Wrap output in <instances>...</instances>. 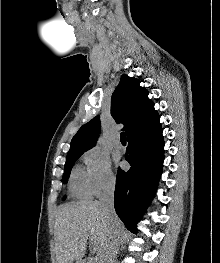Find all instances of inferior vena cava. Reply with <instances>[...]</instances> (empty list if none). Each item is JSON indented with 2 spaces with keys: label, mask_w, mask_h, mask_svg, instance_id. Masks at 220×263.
Returning a JSON list of instances; mask_svg holds the SVG:
<instances>
[{
  "label": "inferior vena cava",
  "mask_w": 220,
  "mask_h": 263,
  "mask_svg": "<svg viewBox=\"0 0 220 263\" xmlns=\"http://www.w3.org/2000/svg\"><path fill=\"white\" fill-rule=\"evenodd\" d=\"M115 180L112 178L105 183L100 196L101 207L111 223L108 237L107 249L103 258V263H115V258L119 250L121 241V231L115 226L117 218L114 209Z\"/></svg>",
  "instance_id": "602c4592"
}]
</instances>
